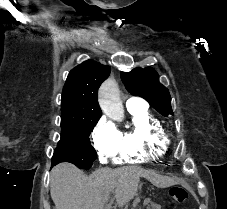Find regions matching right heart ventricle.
I'll return each mask as SVG.
<instances>
[{
	"label": "right heart ventricle",
	"mask_w": 227,
	"mask_h": 209,
	"mask_svg": "<svg viewBox=\"0 0 227 209\" xmlns=\"http://www.w3.org/2000/svg\"><path fill=\"white\" fill-rule=\"evenodd\" d=\"M130 126L120 132V142L113 154L116 165L138 164L161 158L168 151V145L160 140L158 132L161 122L147 109L138 105H127Z\"/></svg>",
	"instance_id": "right-heart-ventricle-1"
}]
</instances>
